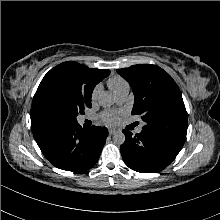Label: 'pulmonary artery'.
<instances>
[{"mask_svg":"<svg viewBox=\"0 0 220 220\" xmlns=\"http://www.w3.org/2000/svg\"><path fill=\"white\" fill-rule=\"evenodd\" d=\"M128 94H129V86H126V87L120 89L118 92L115 93V97H116L117 102L123 103L127 99ZM83 120L84 119H81V121H83ZM141 131H142L141 126L136 129L137 133H140Z\"/></svg>","mask_w":220,"mask_h":220,"instance_id":"1","label":"pulmonary artery"}]
</instances>
